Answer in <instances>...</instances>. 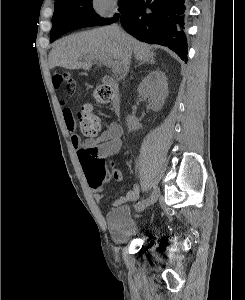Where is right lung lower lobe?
<instances>
[{"label": "right lung lower lobe", "mask_w": 245, "mask_h": 300, "mask_svg": "<svg viewBox=\"0 0 245 300\" xmlns=\"http://www.w3.org/2000/svg\"><path fill=\"white\" fill-rule=\"evenodd\" d=\"M184 0H137L120 17L125 31L140 41L168 46L187 61ZM57 38L83 28L79 22L61 19L56 22Z\"/></svg>", "instance_id": "right-lung-lower-lobe-1"}]
</instances>
